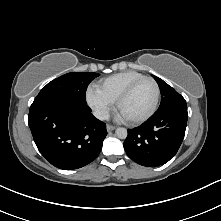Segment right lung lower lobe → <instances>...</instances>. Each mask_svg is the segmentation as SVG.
Returning a JSON list of instances; mask_svg holds the SVG:
<instances>
[{"label": "right lung lower lobe", "instance_id": "obj_1", "mask_svg": "<svg viewBox=\"0 0 221 221\" xmlns=\"http://www.w3.org/2000/svg\"><path fill=\"white\" fill-rule=\"evenodd\" d=\"M28 124L44 158L63 170L81 168L100 153L106 125L96 119L86 102L49 101L30 108Z\"/></svg>", "mask_w": 221, "mask_h": 221}]
</instances>
